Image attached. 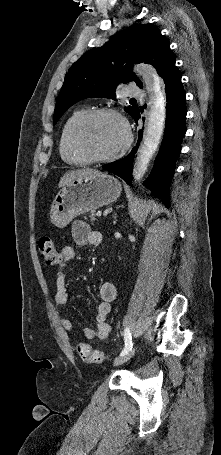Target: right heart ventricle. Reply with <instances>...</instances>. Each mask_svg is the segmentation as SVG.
<instances>
[{
    "label": "right heart ventricle",
    "mask_w": 221,
    "mask_h": 455,
    "mask_svg": "<svg viewBox=\"0 0 221 455\" xmlns=\"http://www.w3.org/2000/svg\"><path fill=\"white\" fill-rule=\"evenodd\" d=\"M88 112L85 107L75 110L65 121L60 136V154L62 159L74 166L86 165L89 161L77 150L74 142V131L77 123Z\"/></svg>",
    "instance_id": "obj_1"
}]
</instances>
